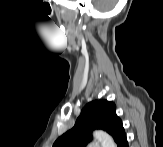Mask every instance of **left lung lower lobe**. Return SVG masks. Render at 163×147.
I'll return each instance as SVG.
<instances>
[{
  "instance_id": "obj_1",
  "label": "left lung lower lobe",
  "mask_w": 163,
  "mask_h": 147,
  "mask_svg": "<svg viewBox=\"0 0 163 147\" xmlns=\"http://www.w3.org/2000/svg\"><path fill=\"white\" fill-rule=\"evenodd\" d=\"M115 142L117 143V147H128L125 130L121 132V134L119 135Z\"/></svg>"
}]
</instances>
